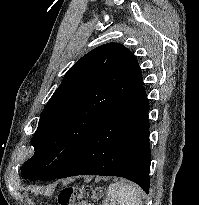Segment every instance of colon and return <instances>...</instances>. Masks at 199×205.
<instances>
[{
    "label": "colon",
    "mask_w": 199,
    "mask_h": 205,
    "mask_svg": "<svg viewBox=\"0 0 199 205\" xmlns=\"http://www.w3.org/2000/svg\"><path fill=\"white\" fill-rule=\"evenodd\" d=\"M57 201L58 205H106L103 190L90 186L83 188L64 187L59 192Z\"/></svg>",
    "instance_id": "5ec220e1"
}]
</instances>
